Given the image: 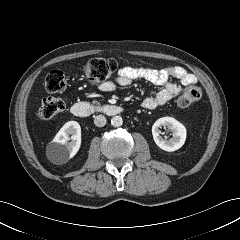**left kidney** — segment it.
<instances>
[{
    "label": "left kidney",
    "instance_id": "5707ae66",
    "mask_svg": "<svg viewBox=\"0 0 240 240\" xmlns=\"http://www.w3.org/2000/svg\"><path fill=\"white\" fill-rule=\"evenodd\" d=\"M167 127L172 131V138L164 140L160 136V128ZM185 126L172 117L159 118L152 126V135L156 145L164 151L172 152L181 148L186 140Z\"/></svg>",
    "mask_w": 240,
    "mask_h": 240
}]
</instances>
